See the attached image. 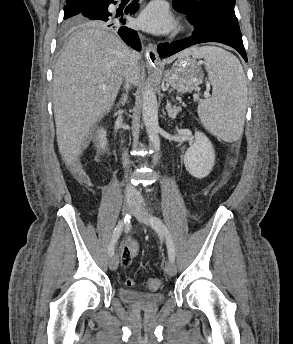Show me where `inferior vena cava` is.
<instances>
[{
	"label": "inferior vena cava",
	"mask_w": 293,
	"mask_h": 344,
	"mask_svg": "<svg viewBox=\"0 0 293 344\" xmlns=\"http://www.w3.org/2000/svg\"><path fill=\"white\" fill-rule=\"evenodd\" d=\"M141 58V55L137 51H133L131 53V62H132V68L127 73L125 77V89L128 90L130 85L133 84V78L136 72L138 71V61ZM122 163L124 167H128L129 159L127 152L123 153L122 156ZM126 197L127 198H138L140 197V193L131 185H127L126 187Z\"/></svg>",
	"instance_id": "obj_1"
}]
</instances>
